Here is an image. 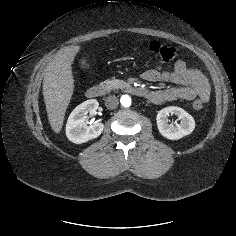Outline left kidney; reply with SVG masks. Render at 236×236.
<instances>
[{"mask_svg":"<svg viewBox=\"0 0 236 236\" xmlns=\"http://www.w3.org/2000/svg\"><path fill=\"white\" fill-rule=\"evenodd\" d=\"M175 114L180 124L169 125L167 117ZM157 126L160 134L169 140H178L189 135L195 128L193 117L180 107L170 106L160 110L157 114Z\"/></svg>","mask_w":236,"mask_h":236,"instance_id":"left-kidney-1","label":"left kidney"}]
</instances>
